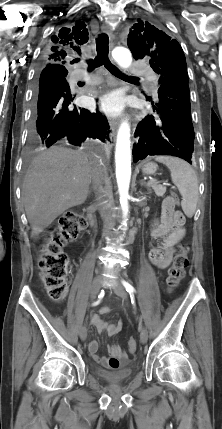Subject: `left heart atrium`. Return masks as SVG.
Listing matches in <instances>:
<instances>
[{
	"label": "left heart atrium",
	"instance_id": "39dd6f15",
	"mask_svg": "<svg viewBox=\"0 0 222 429\" xmlns=\"http://www.w3.org/2000/svg\"><path fill=\"white\" fill-rule=\"evenodd\" d=\"M124 100L119 93L113 92L103 96L99 102L100 109L108 114H118L123 108Z\"/></svg>",
	"mask_w": 222,
	"mask_h": 429
}]
</instances>
